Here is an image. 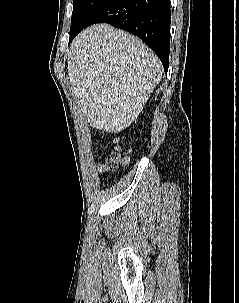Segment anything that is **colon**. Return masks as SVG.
<instances>
[{"instance_id": "colon-1", "label": "colon", "mask_w": 239, "mask_h": 303, "mask_svg": "<svg viewBox=\"0 0 239 303\" xmlns=\"http://www.w3.org/2000/svg\"><path fill=\"white\" fill-rule=\"evenodd\" d=\"M128 162L126 155L121 151L120 148L116 150L109 156V158L102 163V172H115L119 168L125 166Z\"/></svg>"}]
</instances>
